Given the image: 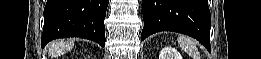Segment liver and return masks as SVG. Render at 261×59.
<instances>
[{"mask_svg": "<svg viewBox=\"0 0 261 59\" xmlns=\"http://www.w3.org/2000/svg\"><path fill=\"white\" fill-rule=\"evenodd\" d=\"M74 46V42L70 41V42H60V43H56V44H51V49H50V56L51 57H56L58 55L64 54L65 52L69 51L72 47ZM54 47H56L54 49Z\"/></svg>", "mask_w": 261, "mask_h": 59, "instance_id": "6515ba94", "label": "liver"}]
</instances>
